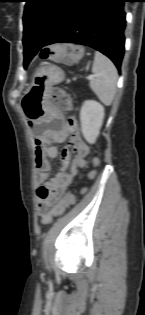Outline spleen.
Listing matches in <instances>:
<instances>
[{
  "mask_svg": "<svg viewBox=\"0 0 145 315\" xmlns=\"http://www.w3.org/2000/svg\"><path fill=\"white\" fill-rule=\"evenodd\" d=\"M92 72L95 78L90 81L91 89L103 104L111 105L117 90L116 67L105 55L95 52Z\"/></svg>",
  "mask_w": 145,
  "mask_h": 315,
  "instance_id": "spleen-1",
  "label": "spleen"
}]
</instances>
